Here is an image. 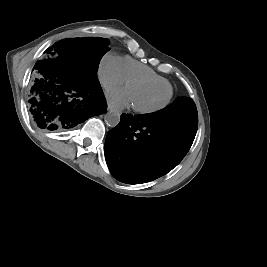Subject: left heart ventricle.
Returning <instances> with one entry per match:
<instances>
[{
  "label": "left heart ventricle",
  "instance_id": "obj_1",
  "mask_svg": "<svg viewBox=\"0 0 267 267\" xmlns=\"http://www.w3.org/2000/svg\"><path fill=\"white\" fill-rule=\"evenodd\" d=\"M132 105L138 107H152L163 103L169 96L167 86L152 83H132L127 86Z\"/></svg>",
  "mask_w": 267,
  "mask_h": 267
}]
</instances>
